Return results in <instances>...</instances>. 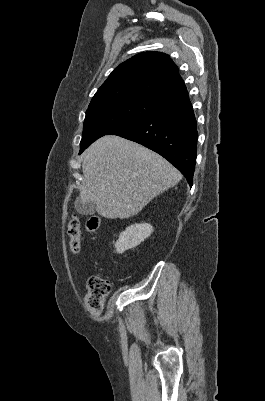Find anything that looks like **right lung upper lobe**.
<instances>
[{"label": "right lung upper lobe", "instance_id": "right-lung-upper-lobe-1", "mask_svg": "<svg viewBox=\"0 0 265 401\" xmlns=\"http://www.w3.org/2000/svg\"><path fill=\"white\" fill-rule=\"evenodd\" d=\"M188 95L178 67L167 54L143 52L115 68L89 106L123 100L165 104Z\"/></svg>", "mask_w": 265, "mask_h": 401}]
</instances>
